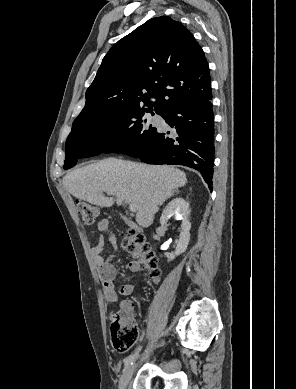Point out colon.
Listing matches in <instances>:
<instances>
[{
	"label": "colon",
	"instance_id": "colon-1",
	"mask_svg": "<svg viewBox=\"0 0 296 389\" xmlns=\"http://www.w3.org/2000/svg\"><path fill=\"white\" fill-rule=\"evenodd\" d=\"M77 210L85 223L94 224L96 222L98 210L92 204L79 201L77 202ZM122 245L144 267L145 276L148 280L152 282L160 280L161 272L157 257L143 235L128 232L122 241ZM110 336L113 347L119 352H126L134 344L138 336V330L129 311H118L112 315Z\"/></svg>",
	"mask_w": 296,
	"mask_h": 389
}]
</instances>
